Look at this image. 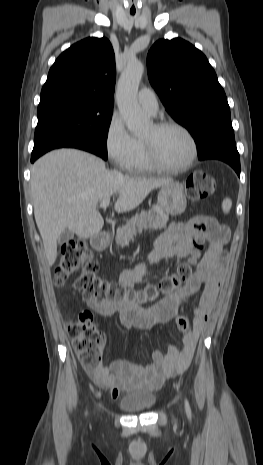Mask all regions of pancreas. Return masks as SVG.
Instances as JSON below:
<instances>
[{
    "instance_id": "obj_1",
    "label": "pancreas",
    "mask_w": 263,
    "mask_h": 465,
    "mask_svg": "<svg viewBox=\"0 0 263 465\" xmlns=\"http://www.w3.org/2000/svg\"><path fill=\"white\" fill-rule=\"evenodd\" d=\"M169 217L161 210L152 209L142 211L139 215L132 217L124 226L117 229L115 241L117 246L128 245L137 233L144 229L166 228Z\"/></svg>"
}]
</instances>
